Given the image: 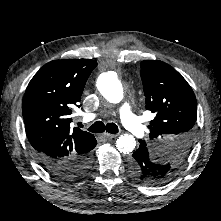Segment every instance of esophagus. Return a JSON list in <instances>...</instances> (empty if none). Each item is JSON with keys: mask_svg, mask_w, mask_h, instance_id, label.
I'll use <instances>...</instances> for the list:
<instances>
[{"mask_svg": "<svg viewBox=\"0 0 221 221\" xmlns=\"http://www.w3.org/2000/svg\"><path fill=\"white\" fill-rule=\"evenodd\" d=\"M104 136H105L107 139H112V138L117 137L118 135H117V134L105 133Z\"/></svg>", "mask_w": 221, "mask_h": 221, "instance_id": "obj_1", "label": "esophagus"}]
</instances>
